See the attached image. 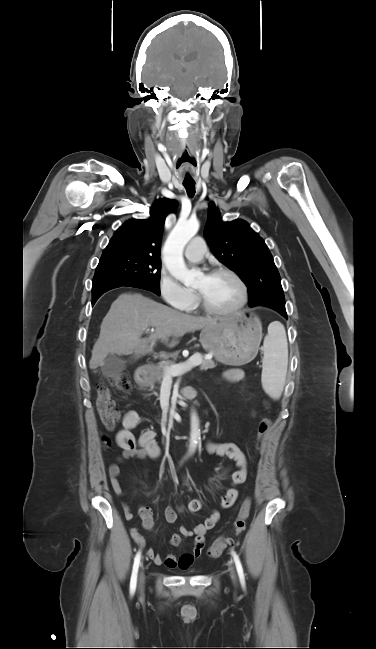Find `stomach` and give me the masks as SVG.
<instances>
[{"label": "stomach", "instance_id": "obj_1", "mask_svg": "<svg viewBox=\"0 0 376 649\" xmlns=\"http://www.w3.org/2000/svg\"><path fill=\"white\" fill-rule=\"evenodd\" d=\"M261 331V323L257 318L231 316L203 328L200 343L221 363L242 365L257 355Z\"/></svg>", "mask_w": 376, "mask_h": 649}]
</instances>
